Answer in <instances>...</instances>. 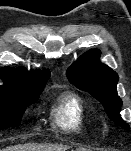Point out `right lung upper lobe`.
Listing matches in <instances>:
<instances>
[{"instance_id": "right-lung-upper-lobe-1", "label": "right lung upper lobe", "mask_w": 131, "mask_h": 151, "mask_svg": "<svg viewBox=\"0 0 131 151\" xmlns=\"http://www.w3.org/2000/svg\"><path fill=\"white\" fill-rule=\"evenodd\" d=\"M0 77L5 84L0 88L42 89L50 77L48 70L28 72L25 68L15 69L4 67L0 69Z\"/></svg>"}]
</instances>
